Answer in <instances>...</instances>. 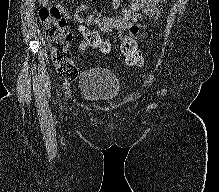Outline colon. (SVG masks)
<instances>
[{"label": "colon", "mask_w": 219, "mask_h": 192, "mask_svg": "<svg viewBox=\"0 0 219 192\" xmlns=\"http://www.w3.org/2000/svg\"><path fill=\"white\" fill-rule=\"evenodd\" d=\"M41 1L42 6L38 14L45 37L50 44L53 65L60 78L67 81L74 80L78 75V69L69 50L72 35L59 9L50 4V0ZM94 43L95 51L101 53L110 51V46L106 41L99 40ZM120 49L128 64L139 65L143 62V55L133 35L128 34L122 39Z\"/></svg>", "instance_id": "obj_1"}]
</instances>
